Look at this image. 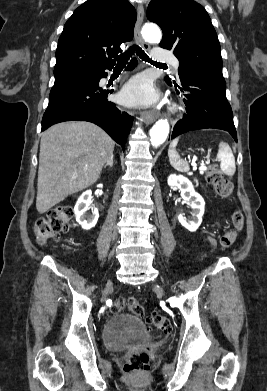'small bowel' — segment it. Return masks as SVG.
<instances>
[{
  "instance_id": "obj_1",
  "label": "small bowel",
  "mask_w": 267,
  "mask_h": 391,
  "mask_svg": "<svg viewBox=\"0 0 267 391\" xmlns=\"http://www.w3.org/2000/svg\"><path fill=\"white\" fill-rule=\"evenodd\" d=\"M208 241H209V243H210L211 247L213 248V247H214V245H215L214 239H213V238H211V237H208Z\"/></svg>"
}]
</instances>
